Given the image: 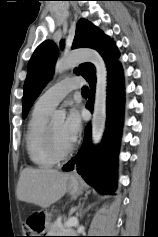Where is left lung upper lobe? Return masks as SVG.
I'll return each mask as SVG.
<instances>
[{"instance_id":"left-lung-upper-lobe-1","label":"left lung upper lobe","mask_w":158,"mask_h":237,"mask_svg":"<svg viewBox=\"0 0 158 237\" xmlns=\"http://www.w3.org/2000/svg\"><path fill=\"white\" fill-rule=\"evenodd\" d=\"M62 45V43H61ZM89 47L97 50L104 58L107 69L117 62L119 52L114 42L91 22L80 19L72 48ZM57 58V47L51 40L44 41L34 51L27 68L24 83L23 112L25 118L44 85L50 79ZM75 72L80 73L88 82L95 79V67L91 63H83Z\"/></svg>"}]
</instances>
